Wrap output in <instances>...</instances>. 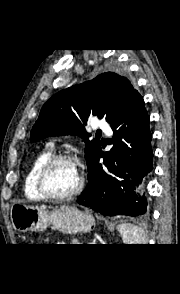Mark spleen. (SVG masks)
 Here are the masks:
<instances>
[{"label":"spleen","instance_id":"1","mask_svg":"<svg viewBox=\"0 0 180 294\" xmlns=\"http://www.w3.org/2000/svg\"><path fill=\"white\" fill-rule=\"evenodd\" d=\"M124 244H145V231L132 223L119 224L117 227Z\"/></svg>","mask_w":180,"mask_h":294}]
</instances>
